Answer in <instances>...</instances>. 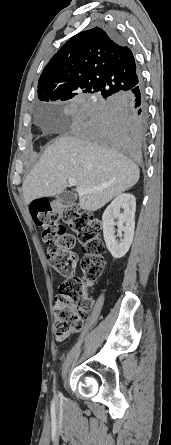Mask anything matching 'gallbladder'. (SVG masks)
<instances>
[{
  "mask_svg": "<svg viewBox=\"0 0 171 445\" xmlns=\"http://www.w3.org/2000/svg\"><path fill=\"white\" fill-rule=\"evenodd\" d=\"M73 199V195L68 191H63L57 195V200L62 203H71Z\"/></svg>",
  "mask_w": 171,
  "mask_h": 445,
  "instance_id": "1",
  "label": "gallbladder"
}]
</instances>
